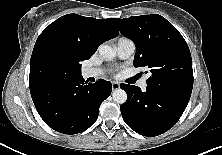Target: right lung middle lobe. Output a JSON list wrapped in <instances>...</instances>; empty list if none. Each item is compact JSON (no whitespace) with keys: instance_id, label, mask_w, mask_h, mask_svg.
I'll use <instances>...</instances> for the list:
<instances>
[{"instance_id":"obj_1","label":"right lung middle lobe","mask_w":222,"mask_h":155,"mask_svg":"<svg viewBox=\"0 0 222 155\" xmlns=\"http://www.w3.org/2000/svg\"><path fill=\"white\" fill-rule=\"evenodd\" d=\"M53 54L57 60L66 64L70 77H77L81 75L80 61L70 56L64 45H56Z\"/></svg>"}]
</instances>
